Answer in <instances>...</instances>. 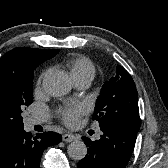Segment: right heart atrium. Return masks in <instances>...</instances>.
<instances>
[{"mask_svg":"<svg viewBox=\"0 0 168 168\" xmlns=\"http://www.w3.org/2000/svg\"><path fill=\"white\" fill-rule=\"evenodd\" d=\"M40 82H41V79L39 80L38 84H40Z\"/></svg>","mask_w":168,"mask_h":168,"instance_id":"right-heart-atrium-1","label":"right heart atrium"}]
</instances>
